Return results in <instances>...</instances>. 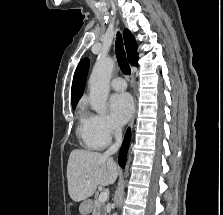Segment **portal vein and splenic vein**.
Returning a JSON list of instances; mask_svg holds the SVG:
<instances>
[{
    "label": "portal vein and splenic vein",
    "instance_id": "1",
    "mask_svg": "<svg viewBox=\"0 0 223 215\" xmlns=\"http://www.w3.org/2000/svg\"><path fill=\"white\" fill-rule=\"evenodd\" d=\"M108 195V191H101L98 201H102L103 203V201H106V199H108Z\"/></svg>",
    "mask_w": 223,
    "mask_h": 215
}]
</instances>
